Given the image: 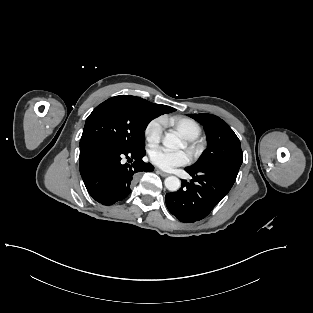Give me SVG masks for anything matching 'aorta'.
Listing matches in <instances>:
<instances>
[{"label": "aorta", "mask_w": 313, "mask_h": 313, "mask_svg": "<svg viewBox=\"0 0 313 313\" xmlns=\"http://www.w3.org/2000/svg\"><path fill=\"white\" fill-rule=\"evenodd\" d=\"M162 143L169 149L179 148L182 144L179 136L176 133H167L164 136ZM164 184L165 187L171 192L177 191L181 186L180 180L175 176L167 177L164 181Z\"/></svg>", "instance_id": "obj_1"}]
</instances>
